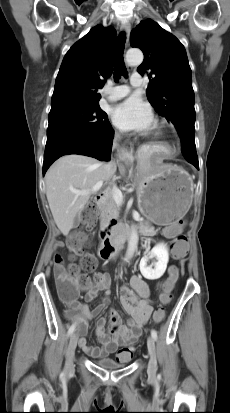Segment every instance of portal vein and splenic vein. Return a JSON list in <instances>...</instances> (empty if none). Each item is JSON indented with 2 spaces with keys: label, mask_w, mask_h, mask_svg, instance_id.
I'll return each instance as SVG.
<instances>
[{
  "label": "portal vein and splenic vein",
  "mask_w": 230,
  "mask_h": 413,
  "mask_svg": "<svg viewBox=\"0 0 230 413\" xmlns=\"http://www.w3.org/2000/svg\"><path fill=\"white\" fill-rule=\"evenodd\" d=\"M102 185H103V181H99L90 190L81 191V190L72 189L71 191L76 195H88V194L96 193L97 191H99ZM112 197L115 200V202L119 204L123 202V194L116 187L112 189ZM135 218H139V215L137 213L135 214Z\"/></svg>",
  "instance_id": "1"
}]
</instances>
